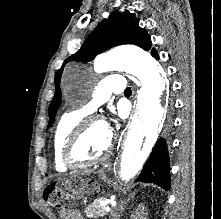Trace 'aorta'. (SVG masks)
<instances>
[{
	"mask_svg": "<svg viewBox=\"0 0 221 219\" xmlns=\"http://www.w3.org/2000/svg\"><path fill=\"white\" fill-rule=\"evenodd\" d=\"M94 69L99 73L123 69L141 82L136 112L116 165L119 179L128 182L142 169L166 118V75L155 58L134 46L119 47L98 56L94 60ZM77 76V68L68 67L63 74L64 86L68 87Z\"/></svg>",
	"mask_w": 221,
	"mask_h": 219,
	"instance_id": "obj_1",
	"label": "aorta"
}]
</instances>
